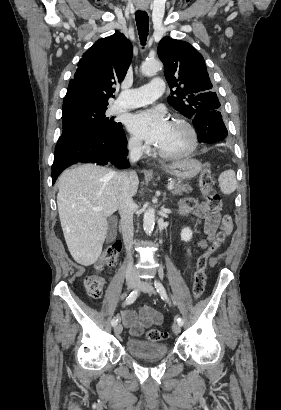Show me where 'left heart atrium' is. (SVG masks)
Masks as SVG:
<instances>
[{"label": "left heart atrium", "instance_id": "1", "mask_svg": "<svg viewBox=\"0 0 281 410\" xmlns=\"http://www.w3.org/2000/svg\"><path fill=\"white\" fill-rule=\"evenodd\" d=\"M169 123L162 108H153L130 115L127 127L140 138L158 145L164 138Z\"/></svg>", "mask_w": 281, "mask_h": 410}]
</instances>
